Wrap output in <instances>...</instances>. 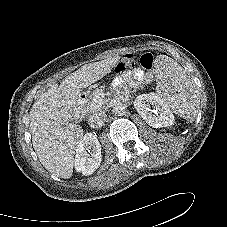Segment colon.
I'll return each instance as SVG.
<instances>
[{
	"label": "colon",
	"instance_id": "colon-1",
	"mask_svg": "<svg viewBox=\"0 0 227 227\" xmlns=\"http://www.w3.org/2000/svg\"><path fill=\"white\" fill-rule=\"evenodd\" d=\"M135 65V59L132 55H128L120 59L116 65V72L122 73L128 68ZM140 65L147 71H152L155 65V58L152 54L146 53L140 58Z\"/></svg>",
	"mask_w": 227,
	"mask_h": 227
}]
</instances>
